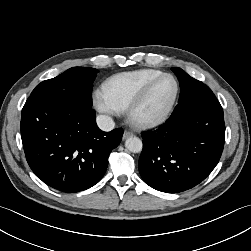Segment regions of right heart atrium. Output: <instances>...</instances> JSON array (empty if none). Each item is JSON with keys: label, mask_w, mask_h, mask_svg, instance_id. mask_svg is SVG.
<instances>
[{"label": "right heart atrium", "mask_w": 251, "mask_h": 251, "mask_svg": "<svg viewBox=\"0 0 251 251\" xmlns=\"http://www.w3.org/2000/svg\"><path fill=\"white\" fill-rule=\"evenodd\" d=\"M93 104L100 113L106 116L118 115L121 112L103 89H97L93 92Z\"/></svg>", "instance_id": "obj_1"}]
</instances>
